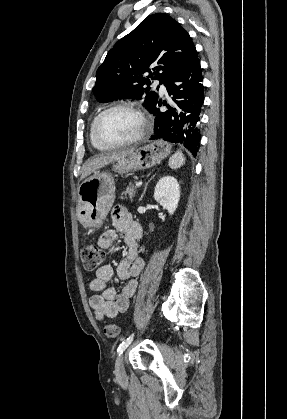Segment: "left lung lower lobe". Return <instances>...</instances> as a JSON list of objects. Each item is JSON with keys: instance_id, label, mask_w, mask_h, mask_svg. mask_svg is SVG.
<instances>
[{"instance_id": "1", "label": "left lung lower lobe", "mask_w": 287, "mask_h": 419, "mask_svg": "<svg viewBox=\"0 0 287 419\" xmlns=\"http://www.w3.org/2000/svg\"><path fill=\"white\" fill-rule=\"evenodd\" d=\"M203 78L199 59H194L182 72L164 82L172 102L166 112H160L157 103L150 110L155 116L151 140H165L184 144L196 156L200 134L197 129L204 102ZM161 105V102L158 103Z\"/></svg>"}]
</instances>
